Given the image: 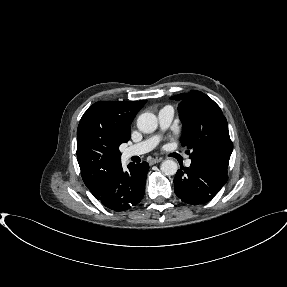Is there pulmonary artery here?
I'll list each match as a JSON object with an SVG mask.
<instances>
[{
	"label": "pulmonary artery",
	"mask_w": 287,
	"mask_h": 287,
	"mask_svg": "<svg viewBox=\"0 0 287 287\" xmlns=\"http://www.w3.org/2000/svg\"><path fill=\"white\" fill-rule=\"evenodd\" d=\"M173 117H174V111L171 107L166 106L162 108L158 113V120H159L160 128L162 130L168 128L173 120ZM157 142H158L157 136L150 137L138 144H135L125 149V151L123 152V156L124 158L128 159L132 156L144 154L150 151L151 149H153L155 145L157 144ZM190 164H191V160H187L185 162L186 166H190Z\"/></svg>",
	"instance_id": "obj_1"
}]
</instances>
